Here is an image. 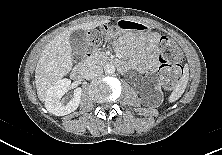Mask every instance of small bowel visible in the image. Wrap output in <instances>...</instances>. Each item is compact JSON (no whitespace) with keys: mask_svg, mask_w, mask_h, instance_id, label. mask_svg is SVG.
Segmentation results:
<instances>
[{"mask_svg":"<svg viewBox=\"0 0 222 155\" xmlns=\"http://www.w3.org/2000/svg\"><path fill=\"white\" fill-rule=\"evenodd\" d=\"M157 36L153 35L147 44V46L142 49L139 59L137 60L136 64L139 69L143 70L145 68L155 69L157 67L156 63V55H157ZM118 49H124L125 44L123 41H118L116 43Z\"/></svg>","mask_w":222,"mask_h":155,"instance_id":"small-bowel-1","label":"small bowel"}]
</instances>
